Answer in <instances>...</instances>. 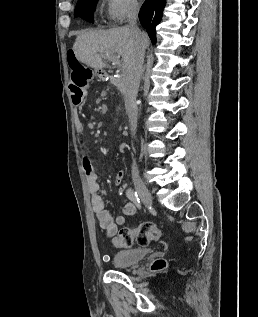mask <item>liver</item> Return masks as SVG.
Instances as JSON below:
<instances>
[{
  "instance_id": "liver-1",
  "label": "liver",
  "mask_w": 258,
  "mask_h": 317,
  "mask_svg": "<svg viewBox=\"0 0 258 317\" xmlns=\"http://www.w3.org/2000/svg\"><path fill=\"white\" fill-rule=\"evenodd\" d=\"M145 46H148L147 32H141ZM73 50L80 62H85L92 68H104L109 66L103 60L106 54H121L123 60V72H126L129 62L134 54V46L130 28L118 26L109 30H88L78 34Z\"/></svg>"
}]
</instances>
